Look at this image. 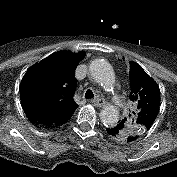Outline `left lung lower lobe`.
Listing matches in <instances>:
<instances>
[{
    "label": "left lung lower lobe",
    "mask_w": 177,
    "mask_h": 177,
    "mask_svg": "<svg viewBox=\"0 0 177 177\" xmlns=\"http://www.w3.org/2000/svg\"><path fill=\"white\" fill-rule=\"evenodd\" d=\"M106 131H107L108 135L114 139L120 134V130L118 129L117 125L107 128ZM138 138H139V136L131 134L126 137L125 141L132 142Z\"/></svg>",
    "instance_id": "0a47b994"
}]
</instances>
